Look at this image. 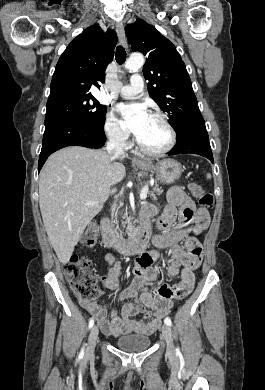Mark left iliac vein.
Segmentation results:
<instances>
[{
    "instance_id": "1",
    "label": "left iliac vein",
    "mask_w": 265,
    "mask_h": 390,
    "mask_svg": "<svg viewBox=\"0 0 265 390\" xmlns=\"http://www.w3.org/2000/svg\"><path fill=\"white\" fill-rule=\"evenodd\" d=\"M162 336L167 345V354L169 356H173L175 353V348L172 340V331L167 324L162 326Z\"/></svg>"
}]
</instances>
